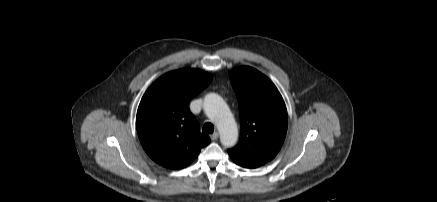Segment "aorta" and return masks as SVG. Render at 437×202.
Returning <instances> with one entry per match:
<instances>
[{
  "mask_svg": "<svg viewBox=\"0 0 437 202\" xmlns=\"http://www.w3.org/2000/svg\"><path fill=\"white\" fill-rule=\"evenodd\" d=\"M204 111L215 123L221 144L225 147H233L238 139V129L235 119L221 96L209 93L204 99Z\"/></svg>",
  "mask_w": 437,
  "mask_h": 202,
  "instance_id": "762f6f07",
  "label": "aorta"
}]
</instances>
